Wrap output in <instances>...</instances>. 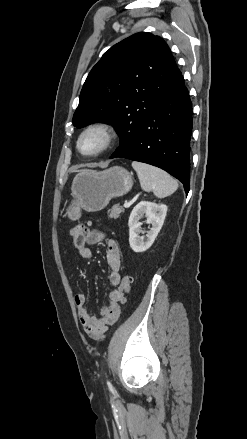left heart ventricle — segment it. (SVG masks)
<instances>
[{"instance_id":"1","label":"left heart ventricle","mask_w":247,"mask_h":439,"mask_svg":"<svg viewBox=\"0 0 247 439\" xmlns=\"http://www.w3.org/2000/svg\"><path fill=\"white\" fill-rule=\"evenodd\" d=\"M103 143V136L99 132H90L81 141V148L84 152H93Z\"/></svg>"}]
</instances>
